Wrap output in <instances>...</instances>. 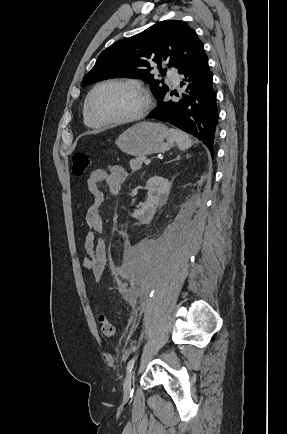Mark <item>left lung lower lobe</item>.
<instances>
[{"label": "left lung lower lobe", "mask_w": 287, "mask_h": 434, "mask_svg": "<svg viewBox=\"0 0 287 434\" xmlns=\"http://www.w3.org/2000/svg\"><path fill=\"white\" fill-rule=\"evenodd\" d=\"M185 92L178 101L158 100V107L147 118L169 122L201 140L214 152L217 138L218 109L212 74L205 53L178 70ZM176 95H178L176 93Z\"/></svg>", "instance_id": "obj_1"}]
</instances>
